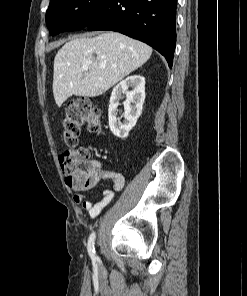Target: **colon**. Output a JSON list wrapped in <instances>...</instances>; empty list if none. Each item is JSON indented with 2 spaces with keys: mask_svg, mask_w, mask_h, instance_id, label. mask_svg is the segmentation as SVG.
<instances>
[{
  "mask_svg": "<svg viewBox=\"0 0 247 296\" xmlns=\"http://www.w3.org/2000/svg\"><path fill=\"white\" fill-rule=\"evenodd\" d=\"M84 125L92 132H100L101 113L88 98H78L66 106L62 117V133L70 149L59 156L65 182L77 190L89 189L101 178L99 168L91 161L92 148H75Z\"/></svg>",
  "mask_w": 247,
  "mask_h": 296,
  "instance_id": "obj_1",
  "label": "colon"
}]
</instances>
